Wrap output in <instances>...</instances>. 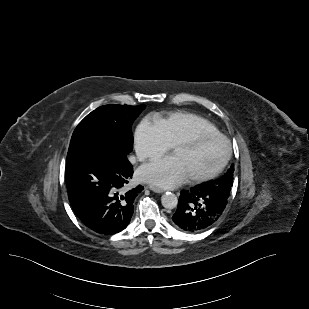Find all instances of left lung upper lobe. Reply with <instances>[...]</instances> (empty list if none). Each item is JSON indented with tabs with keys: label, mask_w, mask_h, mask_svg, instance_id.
<instances>
[{
	"label": "left lung upper lobe",
	"mask_w": 309,
	"mask_h": 309,
	"mask_svg": "<svg viewBox=\"0 0 309 309\" xmlns=\"http://www.w3.org/2000/svg\"><path fill=\"white\" fill-rule=\"evenodd\" d=\"M233 172H234V165H231V168L227 171L225 175H223L221 178L215 180V181H210L205 183L206 185L220 189V190H225L229 191L231 190V186L233 184Z\"/></svg>",
	"instance_id": "left-lung-upper-lobe-1"
}]
</instances>
